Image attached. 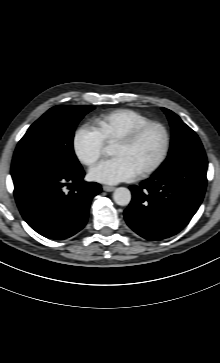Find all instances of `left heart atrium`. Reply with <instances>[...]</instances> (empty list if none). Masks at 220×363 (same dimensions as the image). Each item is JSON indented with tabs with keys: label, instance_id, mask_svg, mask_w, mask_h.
Here are the masks:
<instances>
[{
	"label": "left heart atrium",
	"instance_id": "left-heart-atrium-1",
	"mask_svg": "<svg viewBox=\"0 0 220 363\" xmlns=\"http://www.w3.org/2000/svg\"><path fill=\"white\" fill-rule=\"evenodd\" d=\"M138 172L130 162L121 156L106 159L91 168L90 178L107 184L128 181L137 176Z\"/></svg>",
	"mask_w": 220,
	"mask_h": 363
}]
</instances>
